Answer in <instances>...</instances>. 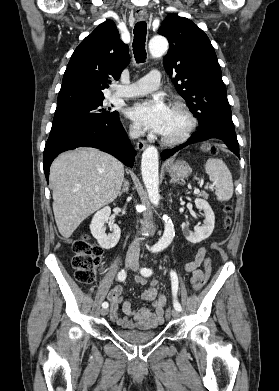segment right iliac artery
<instances>
[{"mask_svg": "<svg viewBox=\"0 0 279 391\" xmlns=\"http://www.w3.org/2000/svg\"><path fill=\"white\" fill-rule=\"evenodd\" d=\"M126 271L125 270H121L119 273H118V280L119 281H124L126 279ZM102 307L103 308H107L108 307V302H104L102 303Z\"/></svg>", "mask_w": 279, "mask_h": 391, "instance_id": "82829eb1", "label": "right iliac artery"}]
</instances>
